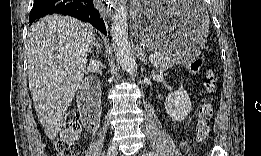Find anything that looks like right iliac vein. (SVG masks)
<instances>
[{
	"instance_id": "right-iliac-vein-1",
	"label": "right iliac vein",
	"mask_w": 261,
	"mask_h": 156,
	"mask_svg": "<svg viewBox=\"0 0 261 156\" xmlns=\"http://www.w3.org/2000/svg\"><path fill=\"white\" fill-rule=\"evenodd\" d=\"M107 155L108 156H116L117 155V149L114 146H109L107 149Z\"/></svg>"
}]
</instances>
